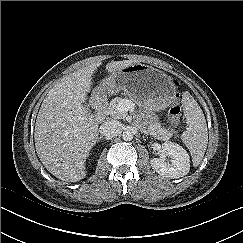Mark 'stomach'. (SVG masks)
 Listing matches in <instances>:
<instances>
[{
  "label": "stomach",
  "mask_w": 243,
  "mask_h": 243,
  "mask_svg": "<svg viewBox=\"0 0 243 243\" xmlns=\"http://www.w3.org/2000/svg\"><path fill=\"white\" fill-rule=\"evenodd\" d=\"M100 91H122L132 101L152 111L168 107L175 95V86L164 72L142 63H133L109 75L101 82Z\"/></svg>",
  "instance_id": "1"
}]
</instances>
